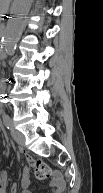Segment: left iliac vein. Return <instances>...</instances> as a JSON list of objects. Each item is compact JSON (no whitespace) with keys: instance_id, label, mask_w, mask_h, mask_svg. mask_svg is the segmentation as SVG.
I'll use <instances>...</instances> for the list:
<instances>
[{"instance_id":"left-iliac-vein-1","label":"left iliac vein","mask_w":103,"mask_h":193,"mask_svg":"<svg viewBox=\"0 0 103 193\" xmlns=\"http://www.w3.org/2000/svg\"><path fill=\"white\" fill-rule=\"evenodd\" d=\"M10 131H11V135H12L13 139L16 141V143L18 145H20L21 147H24L25 138H24L23 134L20 133L19 131L15 130L13 127H11Z\"/></svg>"}]
</instances>
